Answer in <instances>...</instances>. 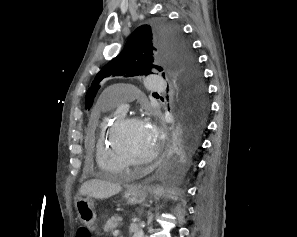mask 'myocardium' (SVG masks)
<instances>
[{
	"mask_svg": "<svg viewBox=\"0 0 297 237\" xmlns=\"http://www.w3.org/2000/svg\"><path fill=\"white\" fill-rule=\"evenodd\" d=\"M135 122H141V119L137 116H123L114 125L111 135L110 144L115 155L121 160L124 166H147L152 164L160 155V146L157 145L155 150L144 159L133 158L123 147L121 143V134L123 130L130 124Z\"/></svg>",
	"mask_w": 297,
	"mask_h": 237,
	"instance_id": "f54148a6",
	"label": "myocardium"
}]
</instances>
